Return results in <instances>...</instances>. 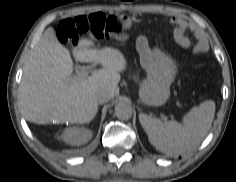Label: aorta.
<instances>
[{
  "mask_svg": "<svg viewBox=\"0 0 236 182\" xmlns=\"http://www.w3.org/2000/svg\"><path fill=\"white\" fill-rule=\"evenodd\" d=\"M115 115L120 120H129L132 117V107L128 102L121 101L115 106Z\"/></svg>",
  "mask_w": 236,
  "mask_h": 182,
  "instance_id": "aorta-1",
  "label": "aorta"
}]
</instances>
